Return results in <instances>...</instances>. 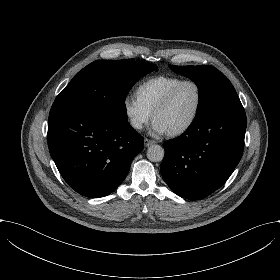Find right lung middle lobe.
<instances>
[{"instance_id":"1","label":"right lung middle lobe","mask_w":280,"mask_h":280,"mask_svg":"<svg viewBox=\"0 0 280 280\" xmlns=\"http://www.w3.org/2000/svg\"><path fill=\"white\" fill-rule=\"evenodd\" d=\"M157 70L155 64L140 61H94L74 76L53 104H75L127 120L129 90L141 77Z\"/></svg>"}]
</instances>
